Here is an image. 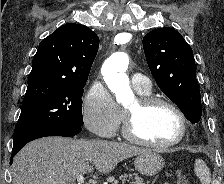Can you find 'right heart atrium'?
Listing matches in <instances>:
<instances>
[{"mask_svg":"<svg viewBox=\"0 0 224 184\" xmlns=\"http://www.w3.org/2000/svg\"><path fill=\"white\" fill-rule=\"evenodd\" d=\"M82 117L91 132L100 137H111L117 132L123 113L109 90L94 82L84 97Z\"/></svg>","mask_w":224,"mask_h":184,"instance_id":"d8ad5b80","label":"right heart atrium"}]
</instances>
